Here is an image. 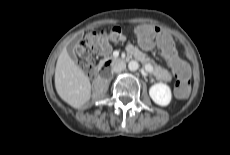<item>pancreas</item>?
Segmentation results:
<instances>
[{
	"label": "pancreas",
	"mask_w": 230,
	"mask_h": 155,
	"mask_svg": "<svg viewBox=\"0 0 230 155\" xmlns=\"http://www.w3.org/2000/svg\"><path fill=\"white\" fill-rule=\"evenodd\" d=\"M131 54L136 58V59H140L141 61L145 62V63H152L153 65V73L156 76L157 79L169 82L171 81L172 77L170 75V73L163 69L162 67H160L159 65L155 64L152 60H150L149 58H147L143 53H141L138 49H134Z\"/></svg>",
	"instance_id": "cf45deb5"
}]
</instances>
